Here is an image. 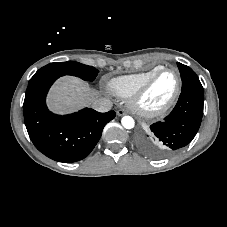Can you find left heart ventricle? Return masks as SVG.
I'll list each match as a JSON object with an SVG mask.
<instances>
[{"instance_id":"1","label":"left heart ventricle","mask_w":227,"mask_h":227,"mask_svg":"<svg viewBox=\"0 0 227 227\" xmlns=\"http://www.w3.org/2000/svg\"><path fill=\"white\" fill-rule=\"evenodd\" d=\"M176 84L177 78L174 72L162 73L143 97L142 105L146 108L163 106L173 95Z\"/></svg>"}]
</instances>
